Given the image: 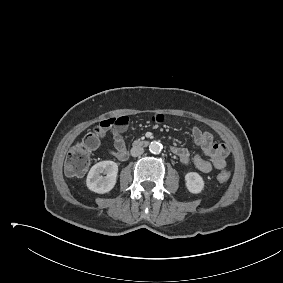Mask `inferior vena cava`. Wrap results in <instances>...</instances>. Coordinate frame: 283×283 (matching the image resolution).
<instances>
[{
	"label": "inferior vena cava",
	"mask_w": 283,
	"mask_h": 283,
	"mask_svg": "<svg viewBox=\"0 0 283 283\" xmlns=\"http://www.w3.org/2000/svg\"><path fill=\"white\" fill-rule=\"evenodd\" d=\"M130 152L133 157H137L144 153V149L141 146H133Z\"/></svg>",
	"instance_id": "inferior-vena-cava-1"
}]
</instances>
